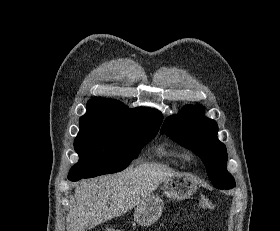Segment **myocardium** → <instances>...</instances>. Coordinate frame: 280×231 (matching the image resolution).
I'll return each instance as SVG.
<instances>
[{"mask_svg": "<svg viewBox=\"0 0 280 231\" xmlns=\"http://www.w3.org/2000/svg\"><path fill=\"white\" fill-rule=\"evenodd\" d=\"M184 159L187 163L193 164L196 161V154L193 151H188L184 154Z\"/></svg>", "mask_w": 280, "mask_h": 231, "instance_id": "1", "label": "myocardium"}]
</instances>
